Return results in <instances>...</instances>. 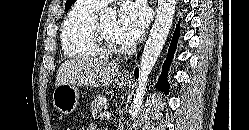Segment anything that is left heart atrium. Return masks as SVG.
<instances>
[{
  "mask_svg": "<svg viewBox=\"0 0 249 130\" xmlns=\"http://www.w3.org/2000/svg\"><path fill=\"white\" fill-rule=\"evenodd\" d=\"M148 11L142 2L125 1L118 10L116 32L120 43L134 44L148 24Z\"/></svg>",
  "mask_w": 249,
  "mask_h": 130,
  "instance_id": "1",
  "label": "left heart atrium"
}]
</instances>
